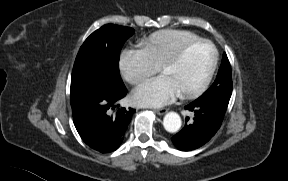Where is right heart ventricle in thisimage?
Returning a JSON list of instances; mask_svg holds the SVG:
<instances>
[{
    "mask_svg": "<svg viewBox=\"0 0 288 181\" xmlns=\"http://www.w3.org/2000/svg\"><path fill=\"white\" fill-rule=\"evenodd\" d=\"M200 39L196 34L185 30H160L140 42V47L149 61L155 66L175 54L182 46Z\"/></svg>",
    "mask_w": 288,
    "mask_h": 181,
    "instance_id": "1",
    "label": "right heart ventricle"
}]
</instances>
